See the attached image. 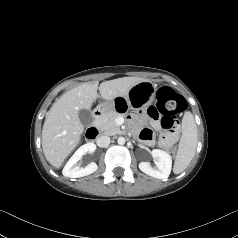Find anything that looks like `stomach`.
Returning <instances> with one entry per match:
<instances>
[{"label": "stomach", "instance_id": "0dacf381", "mask_svg": "<svg viewBox=\"0 0 238 238\" xmlns=\"http://www.w3.org/2000/svg\"><path fill=\"white\" fill-rule=\"evenodd\" d=\"M156 86L151 81H143L134 85L128 94L118 95L114 100L99 104L96 107L101 115H107L111 111L118 114H129L133 109H145L154 100Z\"/></svg>", "mask_w": 238, "mask_h": 238}]
</instances>
